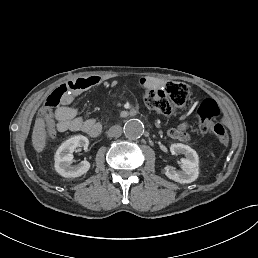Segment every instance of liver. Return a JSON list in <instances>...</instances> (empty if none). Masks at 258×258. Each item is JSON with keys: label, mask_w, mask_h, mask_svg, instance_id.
I'll return each instance as SVG.
<instances>
[{"label": "liver", "mask_w": 258, "mask_h": 258, "mask_svg": "<svg viewBox=\"0 0 258 258\" xmlns=\"http://www.w3.org/2000/svg\"><path fill=\"white\" fill-rule=\"evenodd\" d=\"M46 130L43 118H37L32 133V144L37 152H41L45 147Z\"/></svg>", "instance_id": "obj_1"}]
</instances>
